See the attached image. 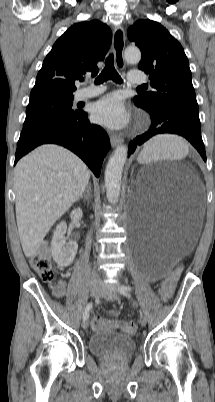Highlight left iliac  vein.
Returning <instances> with one entry per match:
<instances>
[{"label": "left iliac vein", "mask_w": 215, "mask_h": 402, "mask_svg": "<svg viewBox=\"0 0 215 402\" xmlns=\"http://www.w3.org/2000/svg\"><path fill=\"white\" fill-rule=\"evenodd\" d=\"M100 296L108 301H116L119 299V295L116 291L110 290L108 288H106L105 286H101L100 287ZM140 325L141 326H145L146 325V317L144 315L140 316L139 319Z\"/></svg>", "instance_id": "4c4485c4"}]
</instances>
